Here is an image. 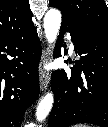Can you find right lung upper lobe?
Segmentation results:
<instances>
[{"label":"right lung upper lobe","mask_w":108,"mask_h":127,"mask_svg":"<svg viewBox=\"0 0 108 127\" xmlns=\"http://www.w3.org/2000/svg\"><path fill=\"white\" fill-rule=\"evenodd\" d=\"M32 12L28 0L0 1V37L19 34L31 28Z\"/></svg>","instance_id":"1"}]
</instances>
